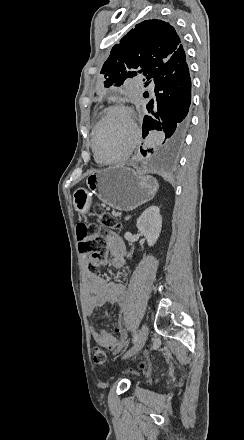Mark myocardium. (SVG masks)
<instances>
[{"label": "myocardium", "instance_id": "1", "mask_svg": "<svg viewBox=\"0 0 244 440\" xmlns=\"http://www.w3.org/2000/svg\"><path fill=\"white\" fill-rule=\"evenodd\" d=\"M112 111H120V112L128 113V114H130L132 116V119L135 116L133 110H131L129 107H127V106H125L123 104L113 105V106L109 107L108 109H106L105 112H104V115H103L102 122L98 123L97 129L94 131V134H93V154H94L95 159L99 163H101V164L119 165V164L124 163L128 159L129 152H126L124 154L118 155L116 157H113L111 155L109 157H102V156L99 155V153L97 151V148H96L99 145L97 142H98V137H99L100 130H103V124H104L105 121H107L108 116H109V114ZM133 123H134V120H133ZM134 125L136 127V130H138L135 123H134ZM131 138H132V136L127 138V139H123L118 145H116V150H118V151L121 150L124 147V145Z\"/></svg>", "mask_w": 244, "mask_h": 440}]
</instances>
